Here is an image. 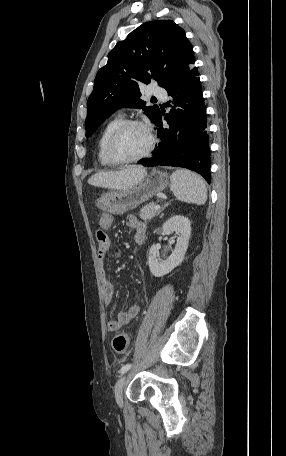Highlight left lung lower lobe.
<instances>
[{
  "mask_svg": "<svg viewBox=\"0 0 286 456\" xmlns=\"http://www.w3.org/2000/svg\"><path fill=\"white\" fill-rule=\"evenodd\" d=\"M194 60L165 87L174 104L165 115L169 126H163V114L160 112L155 123L160 127L158 137L161 143L155 149L154 156L141 164L184 167L201 174L210 183L206 108L199 73L193 66Z\"/></svg>",
  "mask_w": 286,
  "mask_h": 456,
  "instance_id": "1",
  "label": "left lung lower lobe"
}]
</instances>
